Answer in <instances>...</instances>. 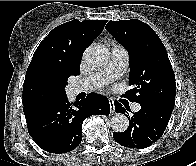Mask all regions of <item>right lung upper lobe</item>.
I'll use <instances>...</instances> for the list:
<instances>
[{"instance_id":"1","label":"right lung upper lobe","mask_w":196,"mask_h":166,"mask_svg":"<svg viewBox=\"0 0 196 166\" xmlns=\"http://www.w3.org/2000/svg\"><path fill=\"white\" fill-rule=\"evenodd\" d=\"M106 20H72L55 27L36 49L25 81L39 70L67 78L80 74L82 55L102 32Z\"/></svg>"}]
</instances>
